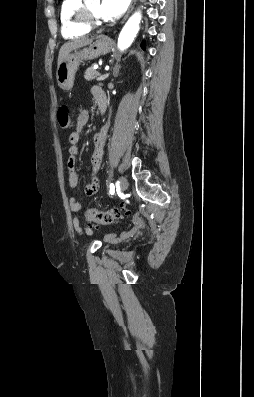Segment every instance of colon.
Returning a JSON list of instances; mask_svg holds the SVG:
<instances>
[{
	"label": "colon",
	"mask_w": 254,
	"mask_h": 397,
	"mask_svg": "<svg viewBox=\"0 0 254 397\" xmlns=\"http://www.w3.org/2000/svg\"><path fill=\"white\" fill-rule=\"evenodd\" d=\"M57 121L62 129L70 127V110L63 105L57 112ZM123 214L122 209L98 210L90 208L86 213V218L90 223L97 225H110L116 223Z\"/></svg>",
	"instance_id": "1"
}]
</instances>
